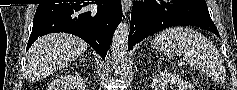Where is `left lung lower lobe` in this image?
<instances>
[{
  "mask_svg": "<svg viewBox=\"0 0 237 90\" xmlns=\"http://www.w3.org/2000/svg\"><path fill=\"white\" fill-rule=\"evenodd\" d=\"M193 25L220 37L204 0H140L133 3L128 49L162 29Z\"/></svg>",
  "mask_w": 237,
  "mask_h": 90,
  "instance_id": "0a47b994",
  "label": "left lung lower lobe"
}]
</instances>
